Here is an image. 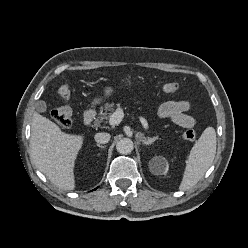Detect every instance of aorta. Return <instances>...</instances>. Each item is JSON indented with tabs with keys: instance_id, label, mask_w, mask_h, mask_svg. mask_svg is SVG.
Wrapping results in <instances>:
<instances>
[{
	"instance_id": "aorta-1",
	"label": "aorta",
	"mask_w": 248,
	"mask_h": 248,
	"mask_svg": "<svg viewBox=\"0 0 248 248\" xmlns=\"http://www.w3.org/2000/svg\"><path fill=\"white\" fill-rule=\"evenodd\" d=\"M116 149L120 154H130L134 149L133 141L129 138H122L117 142Z\"/></svg>"
}]
</instances>
